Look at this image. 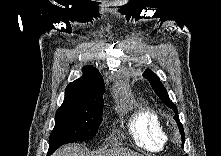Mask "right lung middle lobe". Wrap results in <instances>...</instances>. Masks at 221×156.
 <instances>
[{
	"mask_svg": "<svg viewBox=\"0 0 221 156\" xmlns=\"http://www.w3.org/2000/svg\"><path fill=\"white\" fill-rule=\"evenodd\" d=\"M103 105V101L62 104L56 112L47 156L66 143L92 139L102 121Z\"/></svg>",
	"mask_w": 221,
	"mask_h": 156,
	"instance_id": "obj_1",
	"label": "right lung middle lobe"
}]
</instances>
